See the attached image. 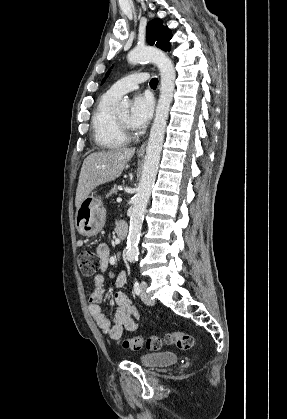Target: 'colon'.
Here are the masks:
<instances>
[{"label":"colon","instance_id":"1","mask_svg":"<svg viewBox=\"0 0 287 419\" xmlns=\"http://www.w3.org/2000/svg\"><path fill=\"white\" fill-rule=\"evenodd\" d=\"M78 263L81 273L87 277L93 276L102 265L99 255L91 250L81 251ZM119 343L127 350H140L143 347L149 350H159L166 345H175L180 350H190L193 346V338L187 333L176 331L162 336L152 335L147 338L133 336L123 339Z\"/></svg>","mask_w":287,"mask_h":419}]
</instances>
